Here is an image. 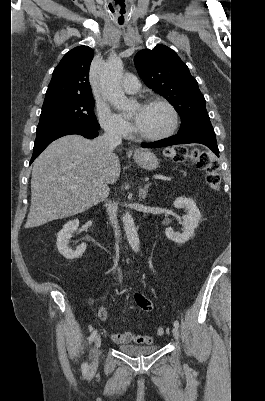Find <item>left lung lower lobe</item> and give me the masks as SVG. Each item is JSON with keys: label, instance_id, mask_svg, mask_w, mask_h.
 Here are the masks:
<instances>
[{"label": "left lung lower lobe", "instance_id": "1", "mask_svg": "<svg viewBox=\"0 0 265 401\" xmlns=\"http://www.w3.org/2000/svg\"><path fill=\"white\" fill-rule=\"evenodd\" d=\"M200 143L209 147L217 156L219 150L211 122H204L178 131L177 135L152 143H142L143 148H158L176 144Z\"/></svg>", "mask_w": 265, "mask_h": 401}]
</instances>
